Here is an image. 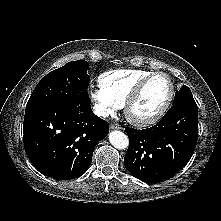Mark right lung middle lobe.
Masks as SVG:
<instances>
[{
	"label": "right lung middle lobe",
	"mask_w": 221,
	"mask_h": 221,
	"mask_svg": "<svg viewBox=\"0 0 221 221\" xmlns=\"http://www.w3.org/2000/svg\"><path fill=\"white\" fill-rule=\"evenodd\" d=\"M88 69V62L79 60L48 73L33 90L26 109L53 104L73 107L88 100Z\"/></svg>",
	"instance_id": "1"
}]
</instances>
